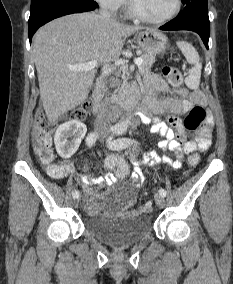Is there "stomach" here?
Returning a JSON list of instances; mask_svg holds the SVG:
<instances>
[{
	"instance_id": "1",
	"label": "stomach",
	"mask_w": 233,
	"mask_h": 284,
	"mask_svg": "<svg viewBox=\"0 0 233 284\" xmlns=\"http://www.w3.org/2000/svg\"><path fill=\"white\" fill-rule=\"evenodd\" d=\"M137 42L141 49L151 55L162 53L167 48V37L154 29H146L137 34Z\"/></svg>"
}]
</instances>
